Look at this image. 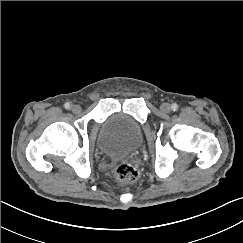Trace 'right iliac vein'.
Wrapping results in <instances>:
<instances>
[{
  "instance_id": "obj_1",
  "label": "right iliac vein",
  "mask_w": 243,
  "mask_h": 243,
  "mask_svg": "<svg viewBox=\"0 0 243 243\" xmlns=\"http://www.w3.org/2000/svg\"><path fill=\"white\" fill-rule=\"evenodd\" d=\"M71 110L73 111V113L78 114L81 112V106L78 104H74L72 105Z\"/></svg>"
}]
</instances>
